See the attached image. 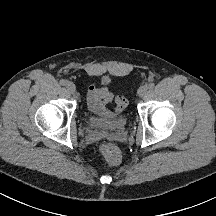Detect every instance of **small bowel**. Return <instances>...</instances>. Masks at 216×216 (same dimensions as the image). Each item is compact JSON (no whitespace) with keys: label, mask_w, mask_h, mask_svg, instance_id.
Listing matches in <instances>:
<instances>
[{"label":"small bowel","mask_w":216,"mask_h":216,"mask_svg":"<svg viewBox=\"0 0 216 216\" xmlns=\"http://www.w3.org/2000/svg\"><path fill=\"white\" fill-rule=\"evenodd\" d=\"M108 79L103 80V85L90 86L87 92V104L89 109L96 115L112 118L113 111L107 105L113 101V94L107 87Z\"/></svg>","instance_id":"obj_1"}]
</instances>
